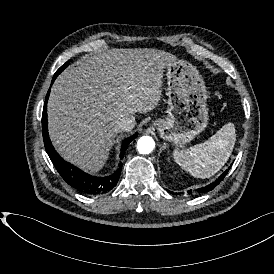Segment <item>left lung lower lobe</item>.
Returning a JSON list of instances; mask_svg holds the SVG:
<instances>
[{
	"label": "left lung lower lobe",
	"mask_w": 274,
	"mask_h": 274,
	"mask_svg": "<svg viewBox=\"0 0 274 274\" xmlns=\"http://www.w3.org/2000/svg\"><path fill=\"white\" fill-rule=\"evenodd\" d=\"M231 168V166H230ZM229 170H226L218 179H216L213 183L203 187V188H199L197 189L198 193H204V192H207V191H211L214 189V187L216 185H218L223 179L224 177L226 176V174L228 173Z\"/></svg>",
	"instance_id": "1"
}]
</instances>
